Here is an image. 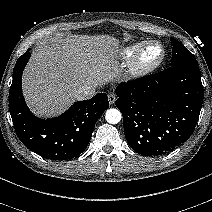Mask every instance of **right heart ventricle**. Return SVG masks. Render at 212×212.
<instances>
[{"label": "right heart ventricle", "instance_id": "right-heart-ventricle-1", "mask_svg": "<svg viewBox=\"0 0 212 212\" xmlns=\"http://www.w3.org/2000/svg\"><path fill=\"white\" fill-rule=\"evenodd\" d=\"M138 45L137 46H133V47H130V48H127L124 50V56L125 57H131L133 56V54L135 53V51L138 49Z\"/></svg>", "mask_w": 212, "mask_h": 212}]
</instances>
